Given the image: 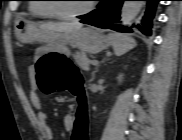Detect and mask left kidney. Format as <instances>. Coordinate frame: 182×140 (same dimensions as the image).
Segmentation results:
<instances>
[{"mask_svg":"<svg viewBox=\"0 0 182 140\" xmlns=\"http://www.w3.org/2000/svg\"><path fill=\"white\" fill-rule=\"evenodd\" d=\"M117 79H118V82L121 83L122 80H123V74H120V75L117 77Z\"/></svg>","mask_w":182,"mask_h":140,"instance_id":"left-kidney-1","label":"left kidney"}]
</instances>
